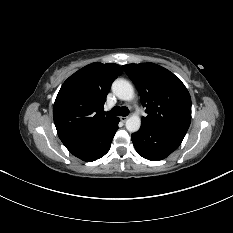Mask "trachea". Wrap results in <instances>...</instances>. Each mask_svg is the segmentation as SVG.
<instances>
[{
	"label": "trachea",
	"instance_id": "3493384b",
	"mask_svg": "<svg viewBox=\"0 0 233 233\" xmlns=\"http://www.w3.org/2000/svg\"><path fill=\"white\" fill-rule=\"evenodd\" d=\"M107 114L112 116H127L129 109L127 107L114 106Z\"/></svg>",
	"mask_w": 233,
	"mask_h": 233
}]
</instances>
